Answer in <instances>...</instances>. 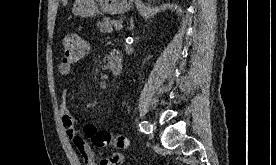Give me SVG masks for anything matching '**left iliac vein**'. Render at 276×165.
Segmentation results:
<instances>
[{"instance_id": "left-iliac-vein-1", "label": "left iliac vein", "mask_w": 276, "mask_h": 165, "mask_svg": "<svg viewBox=\"0 0 276 165\" xmlns=\"http://www.w3.org/2000/svg\"><path fill=\"white\" fill-rule=\"evenodd\" d=\"M153 130H155V126H154V124H153ZM153 130H152V131H153ZM151 133H152V132H151ZM151 135H152V134H151Z\"/></svg>"}]
</instances>
